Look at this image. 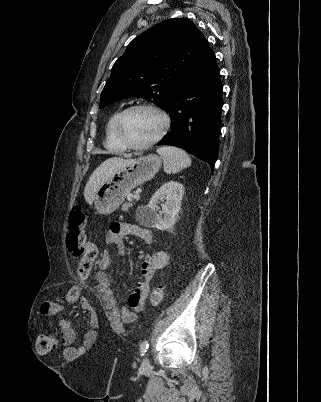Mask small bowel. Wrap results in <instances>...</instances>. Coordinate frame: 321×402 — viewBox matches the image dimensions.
Returning <instances> with one entry per match:
<instances>
[{
	"instance_id": "small-bowel-1",
	"label": "small bowel",
	"mask_w": 321,
	"mask_h": 402,
	"mask_svg": "<svg viewBox=\"0 0 321 402\" xmlns=\"http://www.w3.org/2000/svg\"><path fill=\"white\" fill-rule=\"evenodd\" d=\"M127 236H134L142 240L146 244L153 243V234L149 229L141 227L135 223L130 222H115L111 225L105 241L108 245L114 246L119 255H124L126 247L124 238ZM169 255L165 251H156L146 255L141 263V280L138 282L135 290L130 295L129 306H124L121 310V319L124 323H133L139 314L143 313L144 306L140 309L132 307L131 303L135 300H145L149 292V282L154 274L167 266ZM111 263V255L108 251L101 254L96 263L95 279L96 282L108 291H112L111 280L104 270ZM83 311H92L94 304L92 302H83L81 305ZM64 311L62 304L58 302L47 301L41 304L40 313L42 316L49 317L60 314ZM97 321H92L90 326L92 328L98 327ZM63 344L64 356L68 360L75 358H83L84 353H88L89 347L95 346V330H84L82 344L75 343V329L73 324L68 320H61L59 322Z\"/></svg>"
}]
</instances>
